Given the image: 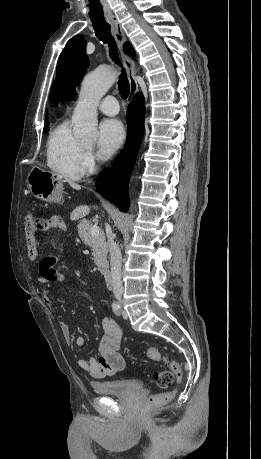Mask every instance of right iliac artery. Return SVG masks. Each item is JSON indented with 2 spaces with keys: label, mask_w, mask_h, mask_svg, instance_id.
<instances>
[{
  "label": "right iliac artery",
  "mask_w": 261,
  "mask_h": 459,
  "mask_svg": "<svg viewBox=\"0 0 261 459\" xmlns=\"http://www.w3.org/2000/svg\"><path fill=\"white\" fill-rule=\"evenodd\" d=\"M112 309H113V311H114V313H115L116 315L119 316V315L121 314V307H120V305H119L117 302H114V303L112 304Z\"/></svg>",
  "instance_id": "obj_1"
}]
</instances>
